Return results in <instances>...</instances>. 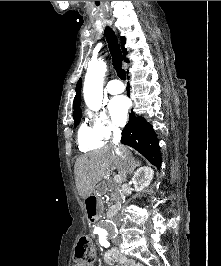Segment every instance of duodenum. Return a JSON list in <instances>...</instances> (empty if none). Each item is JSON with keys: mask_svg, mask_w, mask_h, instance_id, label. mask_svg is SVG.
<instances>
[{"mask_svg": "<svg viewBox=\"0 0 221 266\" xmlns=\"http://www.w3.org/2000/svg\"><path fill=\"white\" fill-rule=\"evenodd\" d=\"M103 192L100 189H90V194L86 198V219L88 223H99L101 219V213H103L102 208V198ZM108 218H112L114 215L113 211L107 212Z\"/></svg>", "mask_w": 221, "mask_h": 266, "instance_id": "duodenum-1", "label": "duodenum"}]
</instances>
